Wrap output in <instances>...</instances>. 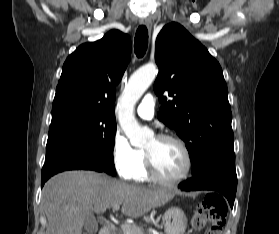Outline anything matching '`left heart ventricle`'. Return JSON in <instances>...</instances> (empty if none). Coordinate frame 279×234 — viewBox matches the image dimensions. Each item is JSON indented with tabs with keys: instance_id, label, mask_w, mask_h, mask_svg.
I'll list each match as a JSON object with an SVG mask.
<instances>
[{
	"instance_id": "b2bd125f",
	"label": "left heart ventricle",
	"mask_w": 279,
	"mask_h": 234,
	"mask_svg": "<svg viewBox=\"0 0 279 234\" xmlns=\"http://www.w3.org/2000/svg\"><path fill=\"white\" fill-rule=\"evenodd\" d=\"M145 150L153 154L158 172L166 179H175L185 168V157L177 144L151 139Z\"/></svg>"
}]
</instances>
